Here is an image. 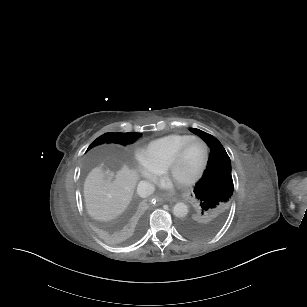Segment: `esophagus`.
Here are the masks:
<instances>
[{"label":"esophagus","instance_id":"34e87169","mask_svg":"<svg viewBox=\"0 0 307 307\" xmlns=\"http://www.w3.org/2000/svg\"><path fill=\"white\" fill-rule=\"evenodd\" d=\"M167 200H169V198H167V197H164V198L161 197V196H157V197H156V201H157V204H158V205L164 203V202L167 201Z\"/></svg>","mask_w":307,"mask_h":307}]
</instances>
